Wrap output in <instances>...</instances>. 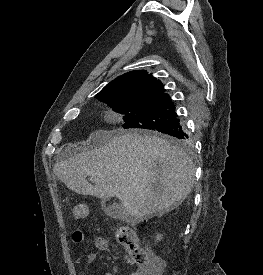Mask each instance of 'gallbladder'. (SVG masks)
I'll use <instances>...</instances> for the list:
<instances>
[{
	"label": "gallbladder",
	"mask_w": 263,
	"mask_h": 275,
	"mask_svg": "<svg viewBox=\"0 0 263 275\" xmlns=\"http://www.w3.org/2000/svg\"><path fill=\"white\" fill-rule=\"evenodd\" d=\"M105 210H106V212H107L109 215H111V216H113V217H115V218L123 217V215H122V210H121L120 206L117 205V204H113V205L109 206V207H108L107 209H105Z\"/></svg>",
	"instance_id": "obj_1"
}]
</instances>
